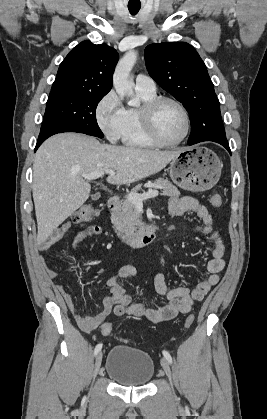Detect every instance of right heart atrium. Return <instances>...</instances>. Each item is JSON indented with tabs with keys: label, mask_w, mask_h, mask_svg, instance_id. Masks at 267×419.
<instances>
[{
	"label": "right heart atrium",
	"mask_w": 267,
	"mask_h": 419,
	"mask_svg": "<svg viewBox=\"0 0 267 419\" xmlns=\"http://www.w3.org/2000/svg\"><path fill=\"white\" fill-rule=\"evenodd\" d=\"M124 107L114 90L106 93L97 103L95 119L98 127L112 142L121 138L124 123Z\"/></svg>",
	"instance_id": "d8ad5b80"
}]
</instances>
